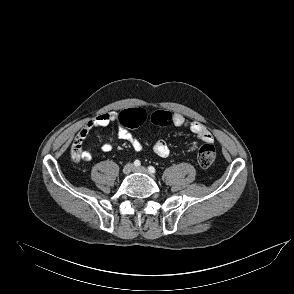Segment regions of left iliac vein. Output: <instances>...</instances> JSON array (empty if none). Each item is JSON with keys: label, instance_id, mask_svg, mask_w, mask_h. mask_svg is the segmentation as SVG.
I'll list each match as a JSON object with an SVG mask.
<instances>
[{"label": "left iliac vein", "instance_id": "4c4485c4", "mask_svg": "<svg viewBox=\"0 0 294 294\" xmlns=\"http://www.w3.org/2000/svg\"><path fill=\"white\" fill-rule=\"evenodd\" d=\"M134 172H139V173H144L147 174L148 176H150L151 178L155 179V176L153 174H151L145 167H134L133 168Z\"/></svg>", "mask_w": 294, "mask_h": 294}]
</instances>
